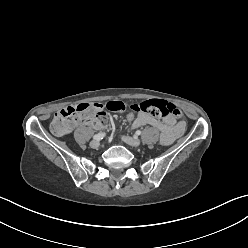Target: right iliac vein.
<instances>
[{"label":"right iliac vein","instance_id":"63e3f726","mask_svg":"<svg viewBox=\"0 0 248 248\" xmlns=\"http://www.w3.org/2000/svg\"><path fill=\"white\" fill-rule=\"evenodd\" d=\"M99 145H100V141H99V140H92V141L90 142V147H91V148H98Z\"/></svg>","mask_w":248,"mask_h":248}]
</instances>
